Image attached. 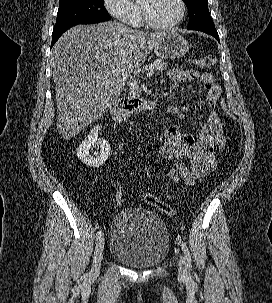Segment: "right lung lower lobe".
<instances>
[{"mask_svg":"<svg viewBox=\"0 0 272 303\" xmlns=\"http://www.w3.org/2000/svg\"><path fill=\"white\" fill-rule=\"evenodd\" d=\"M93 23H99V22H85V23H79V24H93ZM75 25H77V24H74V25H71V26H68V27H65V28H62V29L53 31L51 47L55 44V42L59 39V37H60L66 30H68L69 28H71L72 26H75Z\"/></svg>","mask_w":272,"mask_h":303,"instance_id":"1","label":"right lung lower lobe"}]
</instances>
